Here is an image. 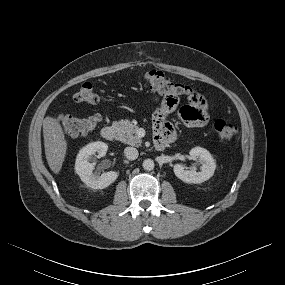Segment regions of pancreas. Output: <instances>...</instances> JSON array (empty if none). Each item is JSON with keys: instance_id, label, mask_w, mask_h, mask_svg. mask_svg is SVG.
I'll list each match as a JSON object with an SVG mask.
<instances>
[{"instance_id": "1", "label": "pancreas", "mask_w": 285, "mask_h": 285, "mask_svg": "<svg viewBox=\"0 0 285 285\" xmlns=\"http://www.w3.org/2000/svg\"><path fill=\"white\" fill-rule=\"evenodd\" d=\"M113 125L117 128V139L123 143L131 146H141L142 140L137 138L134 134L136 127L128 120H121L114 122Z\"/></svg>"}]
</instances>
